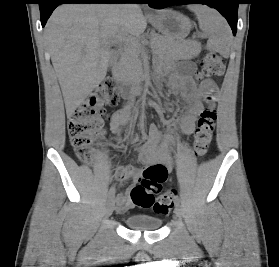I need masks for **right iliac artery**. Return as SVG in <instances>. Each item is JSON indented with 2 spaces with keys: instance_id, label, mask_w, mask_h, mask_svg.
Returning <instances> with one entry per match:
<instances>
[{
  "instance_id": "1",
  "label": "right iliac artery",
  "mask_w": 279,
  "mask_h": 267,
  "mask_svg": "<svg viewBox=\"0 0 279 267\" xmlns=\"http://www.w3.org/2000/svg\"><path fill=\"white\" fill-rule=\"evenodd\" d=\"M115 196V187H111L108 192V197L113 198Z\"/></svg>"
}]
</instances>
